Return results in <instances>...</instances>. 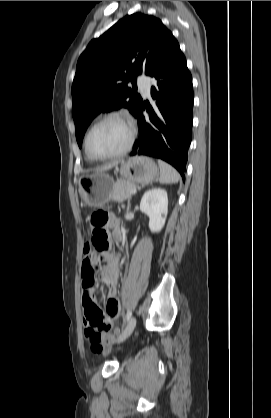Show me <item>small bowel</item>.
<instances>
[{"instance_id": "obj_1", "label": "small bowel", "mask_w": 271, "mask_h": 418, "mask_svg": "<svg viewBox=\"0 0 271 418\" xmlns=\"http://www.w3.org/2000/svg\"><path fill=\"white\" fill-rule=\"evenodd\" d=\"M107 224L116 227L118 225V220L113 216H107ZM118 272V261L108 253H103L99 258L90 252L86 253L81 264V282L83 287L82 306L85 314V331L88 328L87 311L91 308H97L102 313L104 320L109 326L108 330L103 332L102 340H106L110 337L109 330L113 327L114 322L118 319L120 313L119 302L116 298V280ZM94 274H99V286H108V299L103 308L99 307L96 302ZM91 349L95 353L102 351V348Z\"/></svg>"}]
</instances>
